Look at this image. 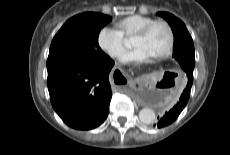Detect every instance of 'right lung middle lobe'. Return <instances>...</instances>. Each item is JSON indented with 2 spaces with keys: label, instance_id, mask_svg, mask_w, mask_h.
<instances>
[{
  "label": "right lung middle lobe",
  "instance_id": "obj_1",
  "mask_svg": "<svg viewBox=\"0 0 230 155\" xmlns=\"http://www.w3.org/2000/svg\"><path fill=\"white\" fill-rule=\"evenodd\" d=\"M111 17L83 13L69 19L53 38L47 68L64 64H98L109 59L98 44V35Z\"/></svg>",
  "mask_w": 230,
  "mask_h": 155
}]
</instances>
